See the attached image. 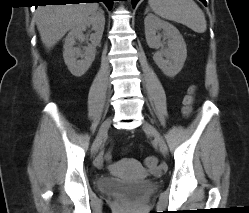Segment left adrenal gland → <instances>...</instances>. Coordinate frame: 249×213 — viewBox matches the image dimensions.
Returning a JSON list of instances; mask_svg holds the SVG:
<instances>
[{
    "label": "left adrenal gland",
    "mask_w": 249,
    "mask_h": 213,
    "mask_svg": "<svg viewBox=\"0 0 249 213\" xmlns=\"http://www.w3.org/2000/svg\"><path fill=\"white\" fill-rule=\"evenodd\" d=\"M148 11H149V8L147 7V8H146V11H145V14H146Z\"/></svg>",
    "instance_id": "obj_1"
}]
</instances>
